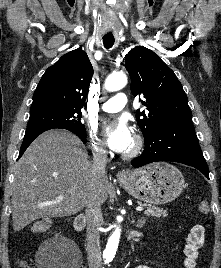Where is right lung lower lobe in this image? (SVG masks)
<instances>
[{"mask_svg": "<svg viewBox=\"0 0 221 268\" xmlns=\"http://www.w3.org/2000/svg\"><path fill=\"white\" fill-rule=\"evenodd\" d=\"M50 129H54L52 127H36V128H31V129H27L25 132V136L23 139V143L21 145V149H20V153H19V157L18 159L23 155V153L25 152V150L27 149V147L32 143V141L41 133L50 130ZM71 132H73L74 134H76L83 143H86V132H80L77 130H69Z\"/></svg>", "mask_w": 221, "mask_h": 268, "instance_id": "1", "label": "right lung lower lobe"}]
</instances>
